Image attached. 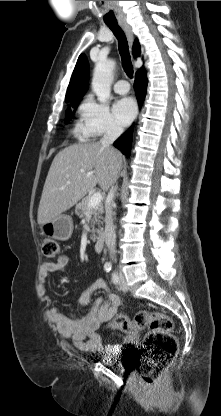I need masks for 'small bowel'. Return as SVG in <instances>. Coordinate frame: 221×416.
<instances>
[{"label": "small bowel", "mask_w": 221, "mask_h": 416, "mask_svg": "<svg viewBox=\"0 0 221 416\" xmlns=\"http://www.w3.org/2000/svg\"><path fill=\"white\" fill-rule=\"evenodd\" d=\"M69 263L70 257L66 254H60L56 262L44 261L40 265L39 278L45 280L51 273L63 272ZM99 291L105 292V296L96 297L92 301ZM78 304L80 307L90 306L84 314L64 312L52 307L48 311L49 321L56 326L62 337L72 339L78 350L90 353L113 352L118 346H104L98 329L117 314L121 306L120 297L109 290L102 278H98L81 293ZM123 340L130 342V338L127 337Z\"/></svg>", "instance_id": "small-bowel-1"}]
</instances>
